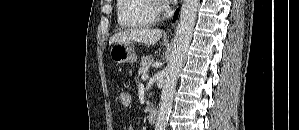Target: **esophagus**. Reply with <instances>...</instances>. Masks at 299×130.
<instances>
[{"label":"esophagus","mask_w":299,"mask_h":130,"mask_svg":"<svg viewBox=\"0 0 299 130\" xmlns=\"http://www.w3.org/2000/svg\"><path fill=\"white\" fill-rule=\"evenodd\" d=\"M172 30H173V27L171 29H169L168 32H172Z\"/></svg>","instance_id":"1"}]
</instances>
